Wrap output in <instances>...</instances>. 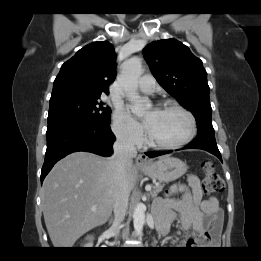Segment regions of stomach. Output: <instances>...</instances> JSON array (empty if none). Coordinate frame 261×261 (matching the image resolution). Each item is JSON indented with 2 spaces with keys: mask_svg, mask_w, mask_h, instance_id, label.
<instances>
[{
  "mask_svg": "<svg viewBox=\"0 0 261 261\" xmlns=\"http://www.w3.org/2000/svg\"><path fill=\"white\" fill-rule=\"evenodd\" d=\"M142 172L161 182H171L180 178L187 171V165L176 157L163 156L158 161L151 162L141 168Z\"/></svg>",
  "mask_w": 261,
  "mask_h": 261,
  "instance_id": "stomach-1",
  "label": "stomach"
}]
</instances>
